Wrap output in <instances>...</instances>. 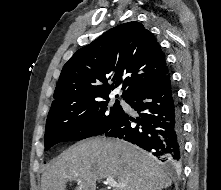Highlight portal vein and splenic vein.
Masks as SVG:
<instances>
[{
    "label": "portal vein and splenic vein",
    "mask_w": 221,
    "mask_h": 190,
    "mask_svg": "<svg viewBox=\"0 0 221 190\" xmlns=\"http://www.w3.org/2000/svg\"><path fill=\"white\" fill-rule=\"evenodd\" d=\"M105 184L109 185L111 187H124V186H126V184H118L112 177L106 178Z\"/></svg>",
    "instance_id": "18ae733b"
}]
</instances>
